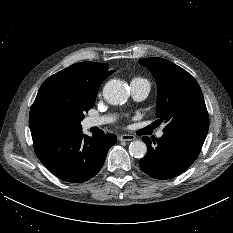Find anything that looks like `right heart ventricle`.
Wrapping results in <instances>:
<instances>
[{"instance_id": "e07e8e85", "label": "right heart ventricle", "mask_w": 233, "mask_h": 233, "mask_svg": "<svg viewBox=\"0 0 233 233\" xmlns=\"http://www.w3.org/2000/svg\"><path fill=\"white\" fill-rule=\"evenodd\" d=\"M136 79H142V78L136 77V78H134L133 80H136Z\"/></svg>"}]
</instances>
